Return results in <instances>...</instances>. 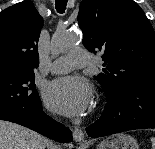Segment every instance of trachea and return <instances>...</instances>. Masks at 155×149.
I'll return each mask as SVG.
<instances>
[{
  "mask_svg": "<svg viewBox=\"0 0 155 149\" xmlns=\"http://www.w3.org/2000/svg\"><path fill=\"white\" fill-rule=\"evenodd\" d=\"M68 0H55V8L59 13H64Z\"/></svg>",
  "mask_w": 155,
  "mask_h": 149,
  "instance_id": "3493384b",
  "label": "trachea"
}]
</instances>
